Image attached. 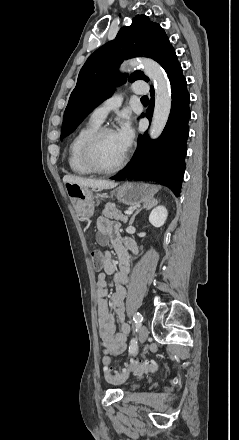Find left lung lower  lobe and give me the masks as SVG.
Masks as SVG:
<instances>
[{
  "mask_svg": "<svg viewBox=\"0 0 239 440\" xmlns=\"http://www.w3.org/2000/svg\"><path fill=\"white\" fill-rule=\"evenodd\" d=\"M162 67L168 73L172 87L171 113L168 122L156 140H150L147 131L138 138V149L133 155L128 167L118 175L111 177L114 180L150 179L169 183L176 196L180 194L181 182L185 170L189 136L188 121L190 119V96L187 91L186 79L182 68L172 48ZM151 99L146 114L141 117L152 118L154 108V88L150 89Z\"/></svg>",
  "mask_w": 239,
  "mask_h": 440,
  "instance_id": "1",
  "label": "left lung lower lobe"
}]
</instances>
